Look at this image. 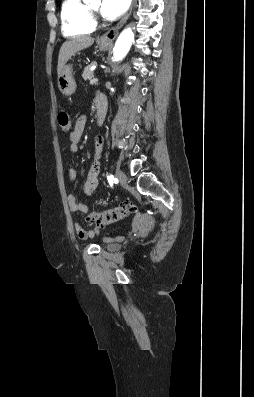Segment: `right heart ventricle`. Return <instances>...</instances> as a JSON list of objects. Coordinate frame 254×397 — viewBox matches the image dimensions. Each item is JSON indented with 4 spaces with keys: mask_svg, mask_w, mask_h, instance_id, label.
I'll return each mask as SVG.
<instances>
[{
    "mask_svg": "<svg viewBox=\"0 0 254 397\" xmlns=\"http://www.w3.org/2000/svg\"><path fill=\"white\" fill-rule=\"evenodd\" d=\"M60 20L62 33L68 38L90 34L94 30L88 7L82 0H63Z\"/></svg>",
    "mask_w": 254,
    "mask_h": 397,
    "instance_id": "e07e8e85",
    "label": "right heart ventricle"
}]
</instances>
